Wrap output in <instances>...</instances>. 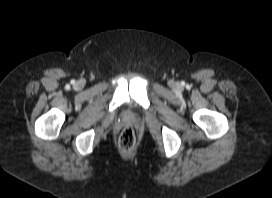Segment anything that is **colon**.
Segmentation results:
<instances>
[{"instance_id": "colon-1", "label": "colon", "mask_w": 272, "mask_h": 198, "mask_svg": "<svg viewBox=\"0 0 272 198\" xmlns=\"http://www.w3.org/2000/svg\"><path fill=\"white\" fill-rule=\"evenodd\" d=\"M136 142L135 132L132 127H125L119 135V146L123 151H130Z\"/></svg>"}]
</instances>
